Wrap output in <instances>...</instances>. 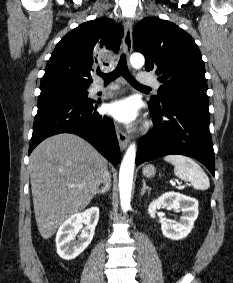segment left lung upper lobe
<instances>
[{"label":"left lung upper lobe","instance_id":"obj_1","mask_svg":"<svg viewBox=\"0 0 233 283\" xmlns=\"http://www.w3.org/2000/svg\"><path fill=\"white\" fill-rule=\"evenodd\" d=\"M137 52L146 57V71H155L161 86L150 102L160 104L174 94H206L204 62L193 38L177 25L147 17L133 30Z\"/></svg>","mask_w":233,"mask_h":283}]
</instances>
